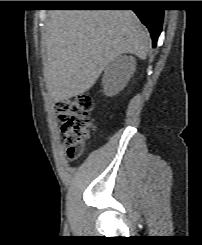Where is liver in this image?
<instances>
[{
    "instance_id": "6515ba94",
    "label": "liver",
    "mask_w": 202,
    "mask_h": 245,
    "mask_svg": "<svg viewBox=\"0 0 202 245\" xmlns=\"http://www.w3.org/2000/svg\"><path fill=\"white\" fill-rule=\"evenodd\" d=\"M46 88L54 102L89 90L122 54L144 60L149 33L131 10H55L44 35Z\"/></svg>"
}]
</instances>
